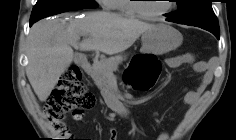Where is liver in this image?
Instances as JSON below:
<instances>
[{"mask_svg":"<svg viewBox=\"0 0 236 140\" xmlns=\"http://www.w3.org/2000/svg\"><path fill=\"white\" fill-rule=\"evenodd\" d=\"M154 26L108 12L87 13L70 25L64 18L38 21L31 27L27 39L28 80L39 100L44 102L73 61L71 46L114 55L127 50ZM80 36L86 38L78 43Z\"/></svg>","mask_w":236,"mask_h":140,"instance_id":"obj_1","label":"liver"}]
</instances>
